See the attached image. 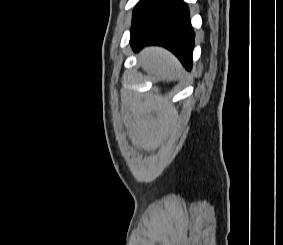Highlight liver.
Segmentation results:
<instances>
[{"label": "liver", "mask_w": 283, "mask_h": 245, "mask_svg": "<svg viewBox=\"0 0 283 245\" xmlns=\"http://www.w3.org/2000/svg\"><path fill=\"white\" fill-rule=\"evenodd\" d=\"M139 60L144 71L151 72L162 80L172 81L183 73L178 60L169 51L160 47L144 49L139 55Z\"/></svg>", "instance_id": "6515ba94"}]
</instances>
